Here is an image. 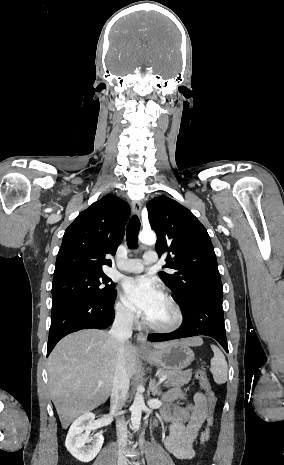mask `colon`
<instances>
[{"instance_id":"obj_1","label":"colon","mask_w":284,"mask_h":465,"mask_svg":"<svg viewBox=\"0 0 284 465\" xmlns=\"http://www.w3.org/2000/svg\"><path fill=\"white\" fill-rule=\"evenodd\" d=\"M196 377L200 381L201 386H202L203 390L205 391V393L207 395V403H208L209 408L213 409V407H214V405L216 403V397H215V395H214V393L212 391V388H211L210 382H209V380L207 378L206 372L204 370H202V369H199L197 371V373H196ZM209 442H210L209 429H208V427H206L203 430V433H202V436H201V443L204 444L205 446H208ZM202 453L206 454L207 450L203 449Z\"/></svg>"}]
</instances>
